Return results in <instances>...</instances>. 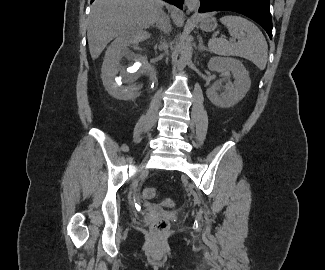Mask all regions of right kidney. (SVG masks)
I'll return each mask as SVG.
<instances>
[{
	"label": "right kidney",
	"mask_w": 325,
	"mask_h": 270,
	"mask_svg": "<svg viewBox=\"0 0 325 270\" xmlns=\"http://www.w3.org/2000/svg\"><path fill=\"white\" fill-rule=\"evenodd\" d=\"M149 38L150 34L141 30L116 38L108 47L101 74L105 89L114 98H136L146 79L155 73V67L148 61V50L144 45Z\"/></svg>",
	"instance_id": "1"
}]
</instances>
